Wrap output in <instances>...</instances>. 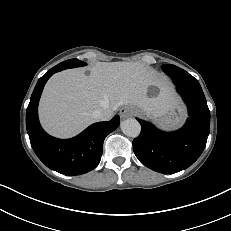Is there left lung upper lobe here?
<instances>
[{"instance_id":"1","label":"left lung upper lobe","mask_w":231,"mask_h":231,"mask_svg":"<svg viewBox=\"0 0 231 231\" xmlns=\"http://www.w3.org/2000/svg\"><path fill=\"white\" fill-rule=\"evenodd\" d=\"M174 67H177V66H175V65H163L162 66V69H166V68H174Z\"/></svg>"}]
</instances>
